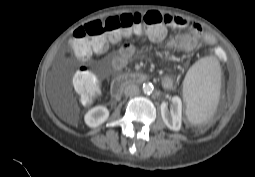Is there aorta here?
I'll use <instances>...</instances> for the list:
<instances>
[{"instance_id":"762f6f07","label":"aorta","mask_w":255,"mask_h":177,"mask_svg":"<svg viewBox=\"0 0 255 177\" xmlns=\"http://www.w3.org/2000/svg\"><path fill=\"white\" fill-rule=\"evenodd\" d=\"M142 90L145 94H151L154 90V86L152 85V83H144Z\"/></svg>"}]
</instances>
